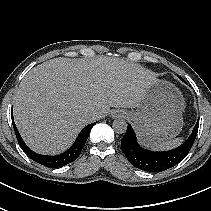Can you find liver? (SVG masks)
<instances>
[{"instance_id": "6515ba94", "label": "liver", "mask_w": 211, "mask_h": 211, "mask_svg": "<svg viewBox=\"0 0 211 211\" xmlns=\"http://www.w3.org/2000/svg\"><path fill=\"white\" fill-rule=\"evenodd\" d=\"M155 81L152 72L123 59L54 58L34 67L22 79L14 120L32 150L57 154L94 121L92 113L102 118L110 107H138Z\"/></svg>"}]
</instances>
